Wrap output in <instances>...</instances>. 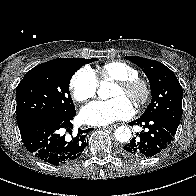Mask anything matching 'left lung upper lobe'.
<instances>
[{"mask_svg": "<svg viewBox=\"0 0 196 196\" xmlns=\"http://www.w3.org/2000/svg\"><path fill=\"white\" fill-rule=\"evenodd\" d=\"M147 75L152 101L141 117L162 116L179 125L182 115V87L175 74L164 64L138 56L125 57Z\"/></svg>", "mask_w": 196, "mask_h": 196, "instance_id": "left-lung-upper-lobe-1", "label": "left lung upper lobe"}]
</instances>
